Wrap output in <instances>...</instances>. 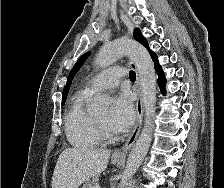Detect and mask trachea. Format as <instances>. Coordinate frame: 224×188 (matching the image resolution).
<instances>
[{
  "instance_id": "3493384b",
  "label": "trachea",
  "mask_w": 224,
  "mask_h": 188,
  "mask_svg": "<svg viewBox=\"0 0 224 188\" xmlns=\"http://www.w3.org/2000/svg\"><path fill=\"white\" fill-rule=\"evenodd\" d=\"M129 77H130V80H131V81H135V79H136V74H135V72H134V71H130V72H129Z\"/></svg>"
}]
</instances>
